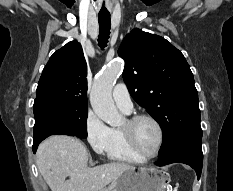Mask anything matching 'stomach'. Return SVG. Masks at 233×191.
I'll return each instance as SVG.
<instances>
[{"label": "stomach", "instance_id": "1", "mask_svg": "<svg viewBox=\"0 0 233 191\" xmlns=\"http://www.w3.org/2000/svg\"><path fill=\"white\" fill-rule=\"evenodd\" d=\"M170 176L157 167L131 166L101 191H164Z\"/></svg>", "mask_w": 233, "mask_h": 191}]
</instances>
